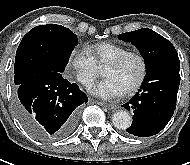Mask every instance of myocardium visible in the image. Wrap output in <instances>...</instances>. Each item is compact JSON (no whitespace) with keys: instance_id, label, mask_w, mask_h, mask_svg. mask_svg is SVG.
Segmentation results:
<instances>
[{"instance_id":"f54148a6","label":"myocardium","mask_w":190,"mask_h":165,"mask_svg":"<svg viewBox=\"0 0 190 165\" xmlns=\"http://www.w3.org/2000/svg\"><path fill=\"white\" fill-rule=\"evenodd\" d=\"M129 58H136L139 61L141 71L136 82L124 91L125 94H132L143 85L148 73V64L145 56L137 51H127L106 64V66L119 67L123 65Z\"/></svg>"}]
</instances>
